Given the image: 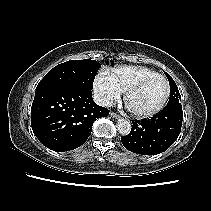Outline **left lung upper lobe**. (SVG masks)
I'll return each mask as SVG.
<instances>
[{
    "label": "left lung upper lobe",
    "mask_w": 211,
    "mask_h": 211,
    "mask_svg": "<svg viewBox=\"0 0 211 211\" xmlns=\"http://www.w3.org/2000/svg\"><path fill=\"white\" fill-rule=\"evenodd\" d=\"M165 75L167 76L170 84V99L167 105L179 103L181 100V96L177 85L168 73L165 72Z\"/></svg>",
    "instance_id": "5c2ea615"
}]
</instances>
